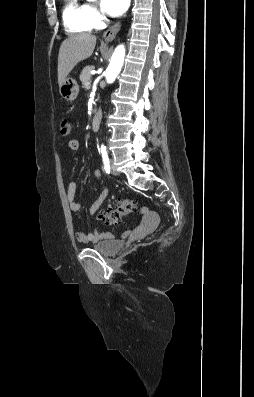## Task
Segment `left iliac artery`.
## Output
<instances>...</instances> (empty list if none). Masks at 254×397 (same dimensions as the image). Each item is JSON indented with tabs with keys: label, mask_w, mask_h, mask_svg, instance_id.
I'll return each instance as SVG.
<instances>
[{
	"label": "left iliac artery",
	"mask_w": 254,
	"mask_h": 397,
	"mask_svg": "<svg viewBox=\"0 0 254 397\" xmlns=\"http://www.w3.org/2000/svg\"><path fill=\"white\" fill-rule=\"evenodd\" d=\"M101 153H102V160H103V165H104V170L106 171V173L110 172V161H109V157L106 151L105 147L101 148Z\"/></svg>",
	"instance_id": "left-iliac-artery-1"
}]
</instances>
